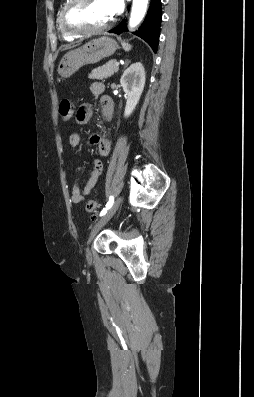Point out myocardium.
<instances>
[{
    "instance_id": "f54148a6",
    "label": "myocardium",
    "mask_w": 254,
    "mask_h": 397,
    "mask_svg": "<svg viewBox=\"0 0 254 397\" xmlns=\"http://www.w3.org/2000/svg\"><path fill=\"white\" fill-rule=\"evenodd\" d=\"M89 1L90 0H68V2L63 7L60 14V26L64 32L72 36H83V35H91V34L103 32L112 26L114 22L112 19L102 26L93 27V28L74 26L70 24L68 17L71 11L75 7L84 5Z\"/></svg>"
}]
</instances>
